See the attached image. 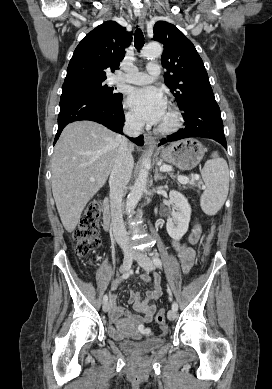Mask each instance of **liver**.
<instances>
[{
  "label": "liver",
  "mask_w": 272,
  "mask_h": 389,
  "mask_svg": "<svg viewBox=\"0 0 272 389\" xmlns=\"http://www.w3.org/2000/svg\"><path fill=\"white\" fill-rule=\"evenodd\" d=\"M119 135L79 121L62 131L52 157V192L62 224L73 232L89 200L104 186L119 148ZM131 151L134 145L129 144Z\"/></svg>",
  "instance_id": "liver-1"
}]
</instances>
